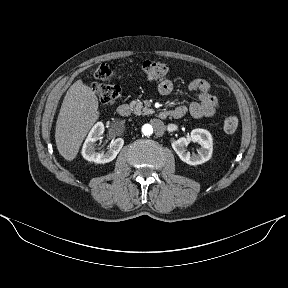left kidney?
<instances>
[{
	"label": "left kidney",
	"instance_id": "1",
	"mask_svg": "<svg viewBox=\"0 0 288 288\" xmlns=\"http://www.w3.org/2000/svg\"><path fill=\"white\" fill-rule=\"evenodd\" d=\"M190 141L201 145L198 154H190L186 146ZM172 148L179 158L189 165H199L208 161L212 156L213 139L209 131L205 129H194L191 131L190 138L181 137L172 143Z\"/></svg>",
	"mask_w": 288,
	"mask_h": 288
}]
</instances>
